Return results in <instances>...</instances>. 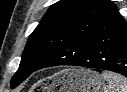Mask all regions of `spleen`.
<instances>
[{
  "instance_id": "1",
  "label": "spleen",
  "mask_w": 127,
  "mask_h": 92,
  "mask_svg": "<svg viewBox=\"0 0 127 92\" xmlns=\"http://www.w3.org/2000/svg\"><path fill=\"white\" fill-rule=\"evenodd\" d=\"M101 77L107 83L103 92H127V79L119 74L104 71Z\"/></svg>"
}]
</instances>
